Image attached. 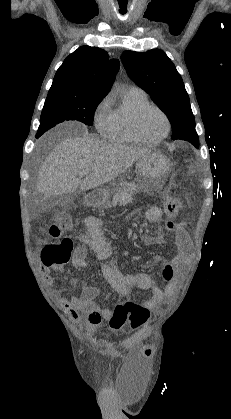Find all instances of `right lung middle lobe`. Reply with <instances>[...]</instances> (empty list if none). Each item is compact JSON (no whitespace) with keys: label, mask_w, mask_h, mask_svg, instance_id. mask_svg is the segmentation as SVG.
Wrapping results in <instances>:
<instances>
[{"label":"right lung middle lobe","mask_w":231,"mask_h":419,"mask_svg":"<svg viewBox=\"0 0 231 419\" xmlns=\"http://www.w3.org/2000/svg\"><path fill=\"white\" fill-rule=\"evenodd\" d=\"M102 99V97L76 96L68 90H49L36 138L64 121L77 120L92 125L95 110Z\"/></svg>","instance_id":"right-lung-middle-lobe-1"}]
</instances>
